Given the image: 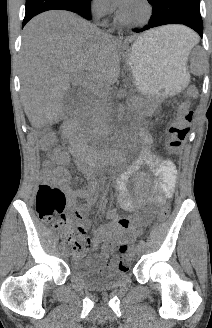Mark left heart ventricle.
I'll return each mask as SVG.
<instances>
[{
  "mask_svg": "<svg viewBox=\"0 0 212 328\" xmlns=\"http://www.w3.org/2000/svg\"><path fill=\"white\" fill-rule=\"evenodd\" d=\"M124 13L128 18L139 19L143 15V10L141 6L136 3L135 0L133 4L128 8V10H126Z\"/></svg>",
  "mask_w": 212,
  "mask_h": 328,
  "instance_id": "obj_1",
  "label": "left heart ventricle"
}]
</instances>
